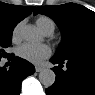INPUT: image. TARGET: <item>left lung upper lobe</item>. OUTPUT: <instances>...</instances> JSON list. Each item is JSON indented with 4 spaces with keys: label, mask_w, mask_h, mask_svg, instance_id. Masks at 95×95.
Listing matches in <instances>:
<instances>
[{
    "label": "left lung upper lobe",
    "mask_w": 95,
    "mask_h": 95,
    "mask_svg": "<svg viewBox=\"0 0 95 95\" xmlns=\"http://www.w3.org/2000/svg\"><path fill=\"white\" fill-rule=\"evenodd\" d=\"M34 13L52 18L62 31V42L55 57L71 59L95 56V13L86 7L67 3L57 6H40Z\"/></svg>",
    "instance_id": "1"
}]
</instances>
